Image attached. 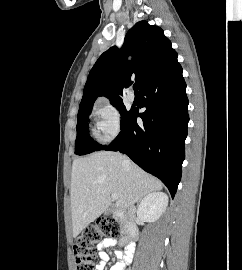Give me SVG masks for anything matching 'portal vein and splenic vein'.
Returning <instances> with one entry per match:
<instances>
[{"label":"portal vein and splenic vein","mask_w":242,"mask_h":270,"mask_svg":"<svg viewBox=\"0 0 242 270\" xmlns=\"http://www.w3.org/2000/svg\"><path fill=\"white\" fill-rule=\"evenodd\" d=\"M113 200H117L118 199V195L116 193H112L111 195Z\"/></svg>","instance_id":"18ae733b"}]
</instances>
